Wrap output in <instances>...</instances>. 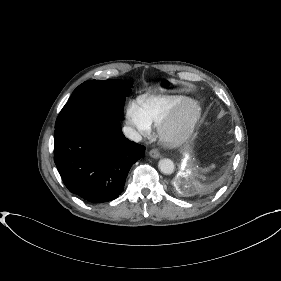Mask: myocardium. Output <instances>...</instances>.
Segmentation results:
<instances>
[{
	"mask_svg": "<svg viewBox=\"0 0 281 281\" xmlns=\"http://www.w3.org/2000/svg\"><path fill=\"white\" fill-rule=\"evenodd\" d=\"M201 115V104L195 99H185L159 125L161 142L172 148L183 144L194 132Z\"/></svg>",
	"mask_w": 281,
	"mask_h": 281,
	"instance_id": "obj_1",
	"label": "myocardium"
}]
</instances>
